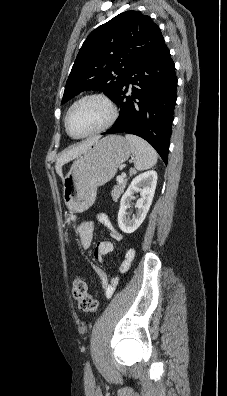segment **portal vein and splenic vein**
I'll use <instances>...</instances> for the list:
<instances>
[{"instance_id":"18ae733b","label":"portal vein and splenic vein","mask_w":227,"mask_h":396,"mask_svg":"<svg viewBox=\"0 0 227 396\" xmlns=\"http://www.w3.org/2000/svg\"><path fill=\"white\" fill-rule=\"evenodd\" d=\"M125 174L122 173L120 176L117 177V182H123Z\"/></svg>"}]
</instances>
